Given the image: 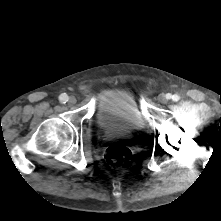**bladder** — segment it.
Listing matches in <instances>:
<instances>
[{"label":"bladder","instance_id":"obj_1","mask_svg":"<svg viewBox=\"0 0 221 221\" xmlns=\"http://www.w3.org/2000/svg\"><path fill=\"white\" fill-rule=\"evenodd\" d=\"M95 122L104 134H132L146 125L132 94L123 89L108 90L98 98Z\"/></svg>","mask_w":221,"mask_h":221}]
</instances>
